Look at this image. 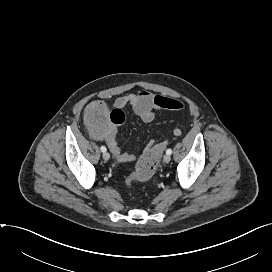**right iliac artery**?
Wrapping results in <instances>:
<instances>
[{"mask_svg": "<svg viewBox=\"0 0 272 272\" xmlns=\"http://www.w3.org/2000/svg\"><path fill=\"white\" fill-rule=\"evenodd\" d=\"M100 149H101V151H102V152H106V151H107V149H106V147H105V146H101V148H100Z\"/></svg>", "mask_w": 272, "mask_h": 272, "instance_id": "82829eb1", "label": "right iliac artery"}]
</instances>
